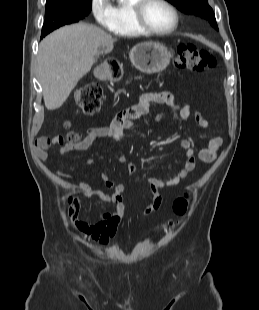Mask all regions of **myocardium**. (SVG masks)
<instances>
[{
    "label": "myocardium",
    "instance_id": "f54148a6",
    "mask_svg": "<svg viewBox=\"0 0 259 310\" xmlns=\"http://www.w3.org/2000/svg\"><path fill=\"white\" fill-rule=\"evenodd\" d=\"M152 0H137L136 3L132 6V18L137 26V28L145 34L154 35V36H166L173 32H175L180 24V15L177 10V8L168 0H157L164 4L168 9L171 10L174 16V24L172 27H170L167 30H156L152 28L145 20L144 12L146 6L151 2Z\"/></svg>",
    "mask_w": 259,
    "mask_h": 310
}]
</instances>
